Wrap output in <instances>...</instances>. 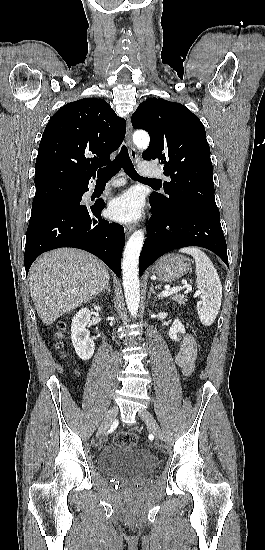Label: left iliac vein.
I'll return each instance as SVG.
<instances>
[{
    "instance_id": "obj_1",
    "label": "left iliac vein",
    "mask_w": 265,
    "mask_h": 550,
    "mask_svg": "<svg viewBox=\"0 0 265 550\" xmlns=\"http://www.w3.org/2000/svg\"><path fill=\"white\" fill-rule=\"evenodd\" d=\"M139 416L142 418V420L146 423V425L149 427L151 432L154 434V436L160 440L164 439V435L156 421V419L153 417V415L146 409L142 408L139 411Z\"/></svg>"
}]
</instances>
